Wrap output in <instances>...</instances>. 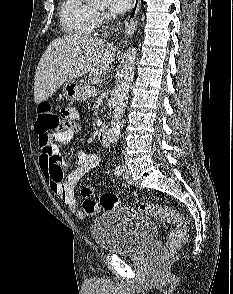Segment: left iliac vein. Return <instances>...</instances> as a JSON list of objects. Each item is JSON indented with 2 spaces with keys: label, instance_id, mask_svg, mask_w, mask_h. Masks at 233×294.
<instances>
[{
  "label": "left iliac vein",
  "instance_id": "1",
  "mask_svg": "<svg viewBox=\"0 0 233 294\" xmlns=\"http://www.w3.org/2000/svg\"><path fill=\"white\" fill-rule=\"evenodd\" d=\"M123 178L128 182L132 183L130 170L125 166L123 167Z\"/></svg>",
  "mask_w": 233,
  "mask_h": 294
}]
</instances>
